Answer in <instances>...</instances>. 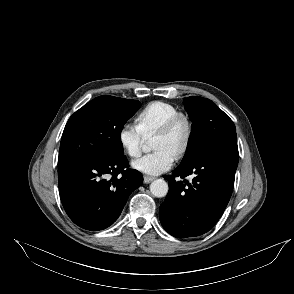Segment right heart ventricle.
I'll return each mask as SVG.
<instances>
[{
    "mask_svg": "<svg viewBox=\"0 0 294 294\" xmlns=\"http://www.w3.org/2000/svg\"><path fill=\"white\" fill-rule=\"evenodd\" d=\"M179 113L177 107L170 103L153 101L137 114V126L144 136H150L167 120Z\"/></svg>",
    "mask_w": 294,
    "mask_h": 294,
    "instance_id": "obj_1",
    "label": "right heart ventricle"
}]
</instances>
